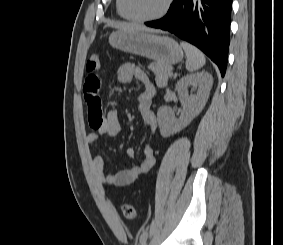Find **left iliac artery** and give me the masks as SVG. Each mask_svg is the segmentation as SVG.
<instances>
[{
  "instance_id": "44dca946",
  "label": "left iliac artery",
  "mask_w": 283,
  "mask_h": 245,
  "mask_svg": "<svg viewBox=\"0 0 283 245\" xmlns=\"http://www.w3.org/2000/svg\"><path fill=\"white\" fill-rule=\"evenodd\" d=\"M147 237H148V232L144 231L140 236V243L143 244L146 241Z\"/></svg>"
}]
</instances>
